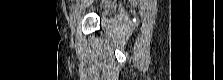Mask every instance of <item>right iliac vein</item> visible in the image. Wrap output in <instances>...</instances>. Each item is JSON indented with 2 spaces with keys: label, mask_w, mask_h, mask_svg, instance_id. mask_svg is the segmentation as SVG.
<instances>
[{
  "label": "right iliac vein",
  "mask_w": 223,
  "mask_h": 80,
  "mask_svg": "<svg viewBox=\"0 0 223 80\" xmlns=\"http://www.w3.org/2000/svg\"><path fill=\"white\" fill-rule=\"evenodd\" d=\"M81 14H82V9L81 8H78L74 11V13L72 15V18H71V23H70L72 32L75 31V28H76V26L79 23V20L81 18Z\"/></svg>",
  "instance_id": "1"
}]
</instances>
